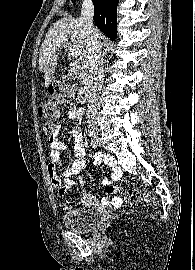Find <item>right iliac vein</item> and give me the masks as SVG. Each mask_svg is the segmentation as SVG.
<instances>
[{
	"label": "right iliac vein",
	"mask_w": 195,
	"mask_h": 270,
	"mask_svg": "<svg viewBox=\"0 0 195 270\" xmlns=\"http://www.w3.org/2000/svg\"><path fill=\"white\" fill-rule=\"evenodd\" d=\"M91 137L93 138V140L95 141V143H97L98 145L101 144V139H100V135L98 131H93L91 133Z\"/></svg>",
	"instance_id": "1"
}]
</instances>
